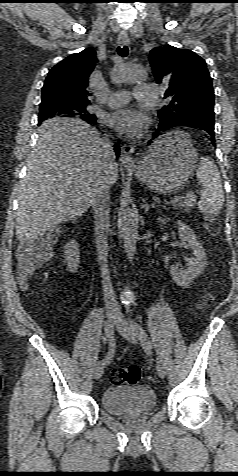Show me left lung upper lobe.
<instances>
[{"mask_svg":"<svg viewBox=\"0 0 238 476\" xmlns=\"http://www.w3.org/2000/svg\"><path fill=\"white\" fill-rule=\"evenodd\" d=\"M157 83L168 86L169 105L158 111L160 123L195 117L214 120V90L206 62L196 53L170 45L150 52Z\"/></svg>","mask_w":238,"mask_h":476,"instance_id":"5c2ea615","label":"left lung upper lobe"}]
</instances>
